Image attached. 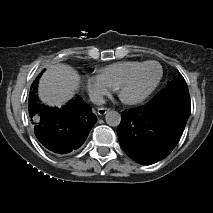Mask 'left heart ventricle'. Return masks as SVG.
Instances as JSON below:
<instances>
[{"label":"left heart ventricle","instance_id":"b2bd125f","mask_svg":"<svg viewBox=\"0 0 213 213\" xmlns=\"http://www.w3.org/2000/svg\"><path fill=\"white\" fill-rule=\"evenodd\" d=\"M159 74L158 67L149 64L141 68L133 80L125 87L124 96L128 99L138 98L148 92Z\"/></svg>","mask_w":213,"mask_h":213}]
</instances>
